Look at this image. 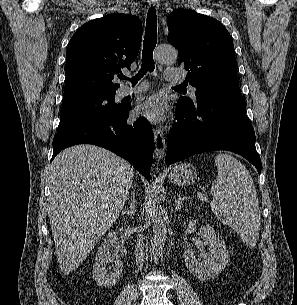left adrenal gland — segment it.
<instances>
[{"instance_id": "a2214340", "label": "left adrenal gland", "mask_w": 297, "mask_h": 305, "mask_svg": "<svg viewBox=\"0 0 297 305\" xmlns=\"http://www.w3.org/2000/svg\"><path fill=\"white\" fill-rule=\"evenodd\" d=\"M188 197H181L180 194L177 195V200L175 203V210L179 211L181 209V206L183 205L184 201L187 199Z\"/></svg>"}]
</instances>
